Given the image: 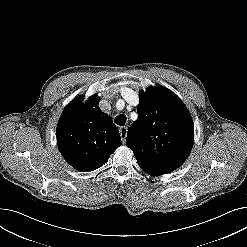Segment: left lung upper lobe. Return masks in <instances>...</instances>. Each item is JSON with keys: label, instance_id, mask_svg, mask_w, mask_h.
<instances>
[{"label": "left lung upper lobe", "instance_id": "left-lung-upper-lobe-1", "mask_svg": "<svg viewBox=\"0 0 247 247\" xmlns=\"http://www.w3.org/2000/svg\"><path fill=\"white\" fill-rule=\"evenodd\" d=\"M138 119L126 144L139 166L173 171L188 158L194 142L193 121L177 95L164 87L139 93Z\"/></svg>", "mask_w": 247, "mask_h": 247}]
</instances>
